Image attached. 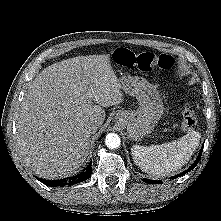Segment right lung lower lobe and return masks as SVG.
<instances>
[{
  "instance_id": "98d812e1",
  "label": "right lung lower lobe",
  "mask_w": 221,
  "mask_h": 221,
  "mask_svg": "<svg viewBox=\"0 0 221 221\" xmlns=\"http://www.w3.org/2000/svg\"><path fill=\"white\" fill-rule=\"evenodd\" d=\"M91 163L86 167L85 171L70 177L68 179H60V180H43L41 178H37L40 182H42L43 184L47 185V186H65V185H73L79 182H82L86 179H88L91 176L92 173V168H91Z\"/></svg>"
}]
</instances>
